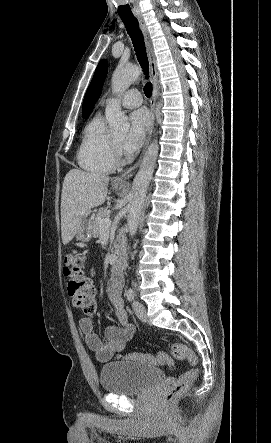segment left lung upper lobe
Returning a JSON list of instances; mask_svg holds the SVG:
<instances>
[{"instance_id":"5c2ea615","label":"left lung upper lobe","mask_w":271,"mask_h":443,"mask_svg":"<svg viewBox=\"0 0 271 443\" xmlns=\"http://www.w3.org/2000/svg\"><path fill=\"white\" fill-rule=\"evenodd\" d=\"M108 72V64L105 59L101 60L95 70L93 79L87 89L85 94V98L83 101V118H87L94 104L97 102L98 98L101 95L102 87L107 76Z\"/></svg>"}]
</instances>
